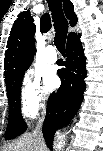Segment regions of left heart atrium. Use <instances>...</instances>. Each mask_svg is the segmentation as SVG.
<instances>
[{"label": "left heart atrium", "mask_w": 103, "mask_h": 151, "mask_svg": "<svg viewBox=\"0 0 103 151\" xmlns=\"http://www.w3.org/2000/svg\"><path fill=\"white\" fill-rule=\"evenodd\" d=\"M44 81L47 91H52L59 84V78L53 69H48L44 75Z\"/></svg>", "instance_id": "left-heart-atrium-1"}]
</instances>
